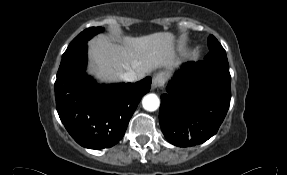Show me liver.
I'll return each mask as SVG.
<instances>
[{
	"mask_svg": "<svg viewBox=\"0 0 287 175\" xmlns=\"http://www.w3.org/2000/svg\"><path fill=\"white\" fill-rule=\"evenodd\" d=\"M175 37L170 32H158L141 37H123V44L99 36L89 44L91 74L101 81H116L128 71L138 79L158 68L175 64Z\"/></svg>",
	"mask_w": 287,
	"mask_h": 175,
	"instance_id": "1",
	"label": "liver"
}]
</instances>
